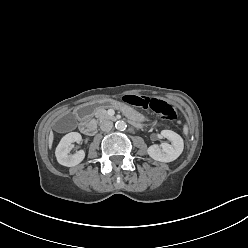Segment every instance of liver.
<instances>
[{
    "label": "liver",
    "mask_w": 248,
    "mask_h": 248,
    "mask_svg": "<svg viewBox=\"0 0 248 248\" xmlns=\"http://www.w3.org/2000/svg\"><path fill=\"white\" fill-rule=\"evenodd\" d=\"M53 138H54L53 132L51 131V132H50V135H49V146H50V148L52 147Z\"/></svg>",
    "instance_id": "1"
}]
</instances>
